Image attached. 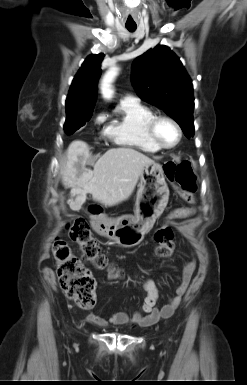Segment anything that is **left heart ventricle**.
<instances>
[{
  "label": "left heart ventricle",
  "mask_w": 247,
  "mask_h": 385,
  "mask_svg": "<svg viewBox=\"0 0 247 385\" xmlns=\"http://www.w3.org/2000/svg\"><path fill=\"white\" fill-rule=\"evenodd\" d=\"M157 136L164 145L170 146L177 141L178 132L170 122L161 121L157 126Z\"/></svg>",
  "instance_id": "obj_1"
}]
</instances>
